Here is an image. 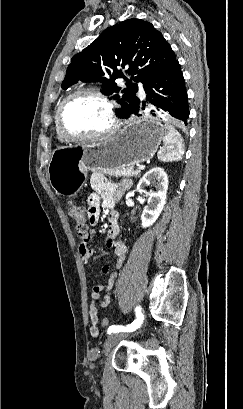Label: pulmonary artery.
I'll return each instance as SVG.
<instances>
[{
	"label": "pulmonary artery",
	"mask_w": 243,
	"mask_h": 409,
	"mask_svg": "<svg viewBox=\"0 0 243 409\" xmlns=\"http://www.w3.org/2000/svg\"><path fill=\"white\" fill-rule=\"evenodd\" d=\"M138 93H139V95H140L141 97H145V91H144V89H143L142 87H139Z\"/></svg>",
	"instance_id": "e3ab8cb5"
}]
</instances>
